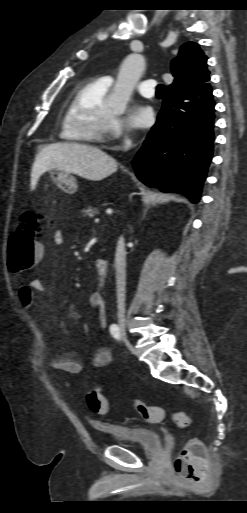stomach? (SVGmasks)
<instances>
[{"label":"stomach","mask_w":247,"mask_h":513,"mask_svg":"<svg viewBox=\"0 0 247 513\" xmlns=\"http://www.w3.org/2000/svg\"><path fill=\"white\" fill-rule=\"evenodd\" d=\"M49 174L53 182L65 192L72 194L77 191V181L71 173L59 169H50Z\"/></svg>","instance_id":"obj_1"}]
</instances>
